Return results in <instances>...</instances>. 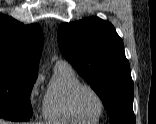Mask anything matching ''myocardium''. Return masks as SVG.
<instances>
[{
	"label": "myocardium",
	"instance_id": "f54148a6",
	"mask_svg": "<svg viewBox=\"0 0 156 124\" xmlns=\"http://www.w3.org/2000/svg\"><path fill=\"white\" fill-rule=\"evenodd\" d=\"M84 91H88V92L92 93L98 99V101L100 103V113L97 116V118L92 119V120L99 121L105 112V100L97 90H95L93 87H91L89 85L81 84V85L77 86L72 91L71 96H70L71 108H72L74 114L79 119L84 120V121H89V119H87V117L80 111L79 106H78V98H79L80 94Z\"/></svg>",
	"mask_w": 156,
	"mask_h": 124
}]
</instances>
